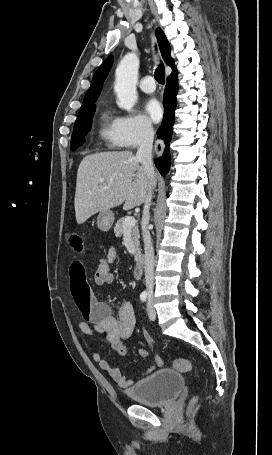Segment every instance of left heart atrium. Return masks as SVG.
<instances>
[{"mask_svg":"<svg viewBox=\"0 0 272 455\" xmlns=\"http://www.w3.org/2000/svg\"><path fill=\"white\" fill-rule=\"evenodd\" d=\"M145 111L154 122L159 121L162 117V107L155 98H151L145 103Z\"/></svg>","mask_w":272,"mask_h":455,"instance_id":"obj_1","label":"left heart atrium"}]
</instances>
